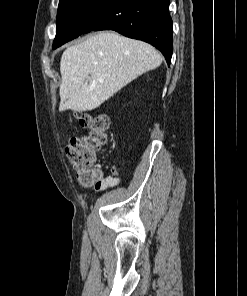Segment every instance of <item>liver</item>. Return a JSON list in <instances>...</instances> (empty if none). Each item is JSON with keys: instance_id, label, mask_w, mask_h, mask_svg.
Segmentation results:
<instances>
[{"instance_id": "liver-1", "label": "liver", "mask_w": 247, "mask_h": 296, "mask_svg": "<svg viewBox=\"0 0 247 296\" xmlns=\"http://www.w3.org/2000/svg\"><path fill=\"white\" fill-rule=\"evenodd\" d=\"M161 63V54L148 43L112 31L91 35L62 54L59 110H93Z\"/></svg>"}]
</instances>
